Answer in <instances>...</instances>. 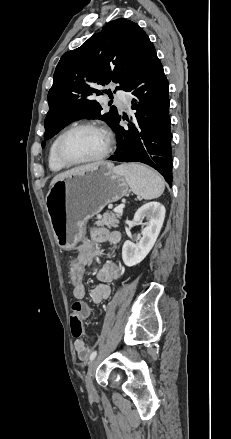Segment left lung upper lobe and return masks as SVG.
Listing matches in <instances>:
<instances>
[{
  "label": "left lung upper lobe",
  "instance_id": "1",
  "mask_svg": "<svg viewBox=\"0 0 231 439\" xmlns=\"http://www.w3.org/2000/svg\"><path fill=\"white\" fill-rule=\"evenodd\" d=\"M152 46L138 24L119 18L109 22L79 48L66 52L56 67L48 93L44 139H50L71 122L83 118L101 119L115 130L120 118L117 110L101 114L102 107L93 97L102 94L99 85L110 82L119 84L116 90H124ZM45 144L43 141V148Z\"/></svg>",
  "mask_w": 231,
  "mask_h": 439
}]
</instances>
